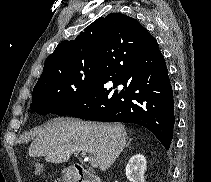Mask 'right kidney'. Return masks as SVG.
Listing matches in <instances>:
<instances>
[{
    "instance_id": "1",
    "label": "right kidney",
    "mask_w": 211,
    "mask_h": 182,
    "mask_svg": "<svg viewBox=\"0 0 211 182\" xmlns=\"http://www.w3.org/2000/svg\"><path fill=\"white\" fill-rule=\"evenodd\" d=\"M146 158L142 154L134 155L126 165V177L130 182H145Z\"/></svg>"
}]
</instances>
